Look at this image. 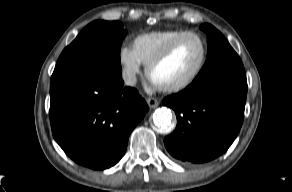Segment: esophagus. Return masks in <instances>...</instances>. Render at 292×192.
Masks as SVG:
<instances>
[{"label":"esophagus","instance_id":"esophagus-1","mask_svg":"<svg viewBox=\"0 0 292 192\" xmlns=\"http://www.w3.org/2000/svg\"><path fill=\"white\" fill-rule=\"evenodd\" d=\"M146 102L150 108H156L159 105V101L153 97L147 98Z\"/></svg>","mask_w":292,"mask_h":192}]
</instances>
